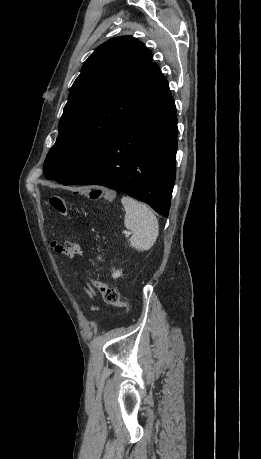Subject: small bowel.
<instances>
[{"instance_id": "obj_1", "label": "small bowel", "mask_w": 261, "mask_h": 459, "mask_svg": "<svg viewBox=\"0 0 261 459\" xmlns=\"http://www.w3.org/2000/svg\"><path fill=\"white\" fill-rule=\"evenodd\" d=\"M57 250L59 252H63L65 254H67L69 257H74V256H77V255L81 254L80 247L77 244L72 243V242L66 243V245L64 247L57 246ZM87 291H88L89 294L93 295V290L90 287L87 288Z\"/></svg>"}]
</instances>
